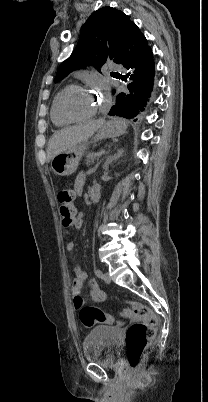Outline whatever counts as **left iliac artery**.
I'll return each mask as SVG.
<instances>
[{"label": "left iliac artery", "instance_id": "1", "mask_svg": "<svg viewBox=\"0 0 208 402\" xmlns=\"http://www.w3.org/2000/svg\"><path fill=\"white\" fill-rule=\"evenodd\" d=\"M95 274H96V276H97L98 278H102V271H101L100 269H97L96 272H95Z\"/></svg>", "mask_w": 208, "mask_h": 402}]
</instances>
